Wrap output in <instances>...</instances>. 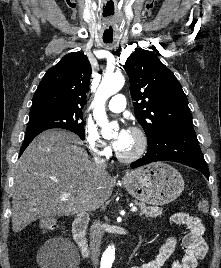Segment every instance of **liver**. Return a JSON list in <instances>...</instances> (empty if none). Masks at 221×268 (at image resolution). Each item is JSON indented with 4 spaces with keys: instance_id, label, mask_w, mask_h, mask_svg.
<instances>
[{
    "instance_id": "liver-1",
    "label": "liver",
    "mask_w": 221,
    "mask_h": 268,
    "mask_svg": "<svg viewBox=\"0 0 221 268\" xmlns=\"http://www.w3.org/2000/svg\"><path fill=\"white\" fill-rule=\"evenodd\" d=\"M79 138L63 130H47L24 151L14 168L12 230L48 216H69L100 207L114 183L96 169ZM64 193H71L61 199Z\"/></svg>"
}]
</instances>
